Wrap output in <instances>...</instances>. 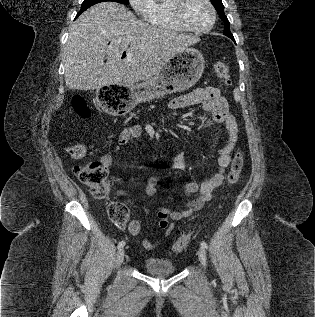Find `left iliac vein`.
<instances>
[{
	"label": "left iliac vein",
	"mask_w": 315,
	"mask_h": 317,
	"mask_svg": "<svg viewBox=\"0 0 315 317\" xmlns=\"http://www.w3.org/2000/svg\"><path fill=\"white\" fill-rule=\"evenodd\" d=\"M198 258H199V261L201 262V264L205 267L206 262H207V255H206V251L203 247H200L198 250Z\"/></svg>",
	"instance_id": "obj_1"
}]
</instances>
